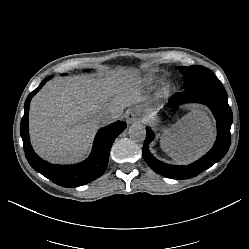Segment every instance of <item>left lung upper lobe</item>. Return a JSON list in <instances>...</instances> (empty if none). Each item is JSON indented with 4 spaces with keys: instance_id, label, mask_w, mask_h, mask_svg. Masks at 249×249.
<instances>
[{
    "instance_id": "5c2ea615",
    "label": "left lung upper lobe",
    "mask_w": 249,
    "mask_h": 249,
    "mask_svg": "<svg viewBox=\"0 0 249 249\" xmlns=\"http://www.w3.org/2000/svg\"><path fill=\"white\" fill-rule=\"evenodd\" d=\"M178 69L184 78V91H189L207 84H221L215 74L203 66H179Z\"/></svg>"
}]
</instances>
